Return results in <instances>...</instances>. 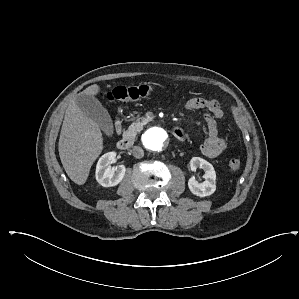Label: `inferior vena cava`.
I'll use <instances>...</instances> for the list:
<instances>
[{
    "instance_id": "1",
    "label": "inferior vena cava",
    "mask_w": 299,
    "mask_h": 299,
    "mask_svg": "<svg viewBox=\"0 0 299 299\" xmlns=\"http://www.w3.org/2000/svg\"><path fill=\"white\" fill-rule=\"evenodd\" d=\"M133 156L137 159H140L144 156V151L140 146H134L131 149Z\"/></svg>"
}]
</instances>
